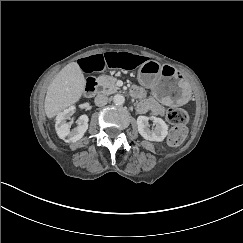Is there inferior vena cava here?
Segmentation results:
<instances>
[{
  "label": "inferior vena cava",
  "mask_w": 243,
  "mask_h": 243,
  "mask_svg": "<svg viewBox=\"0 0 243 243\" xmlns=\"http://www.w3.org/2000/svg\"><path fill=\"white\" fill-rule=\"evenodd\" d=\"M94 102L96 106H104L108 103V97L103 94H99L95 97Z\"/></svg>",
  "instance_id": "inferior-vena-cava-1"
}]
</instances>
